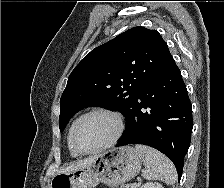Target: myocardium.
I'll return each instance as SVG.
<instances>
[{"instance_id":"1","label":"myocardium","mask_w":224,"mask_h":188,"mask_svg":"<svg viewBox=\"0 0 224 188\" xmlns=\"http://www.w3.org/2000/svg\"><path fill=\"white\" fill-rule=\"evenodd\" d=\"M97 113H101V114H106L110 117L113 118V120L115 121L116 124V131L115 134L113 135V137L106 142L105 144L91 149V150H82L81 148L78 147L77 143H76V134H77V130L80 126V124L89 116L93 115V114H97ZM125 129V123H124V119L122 117V115L112 109L109 108H104V107H97V108H93L91 110H89L88 112L84 113L83 115H81L77 121L74 124V127L72 129V133H71V145L73 150L79 154V155H89V154H94L100 151H103L111 146H113L114 144L117 143V141L120 139V137L122 136L123 132Z\"/></svg>"}]
</instances>
